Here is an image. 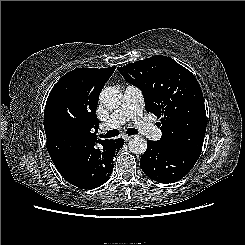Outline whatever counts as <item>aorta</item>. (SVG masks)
I'll return each instance as SVG.
<instances>
[{
	"instance_id": "aorta-1",
	"label": "aorta",
	"mask_w": 245,
	"mask_h": 245,
	"mask_svg": "<svg viewBox=\"0 0 245 245\" xmlns=\"http://www.w3.org/2000/svg\"><path fill=\"white\" fill-rule=\"evenodd\" d=\"M99 100L105 107L115 109L121 105L122 94L115 87H106L102 90ZM128 147L134 154H143L147 149V142L145 139L136 136L130 139Z\"/></svg>"
}]
</instances>
